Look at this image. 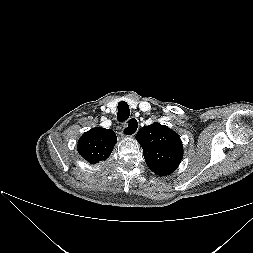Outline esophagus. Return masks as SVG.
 <instances>
[{
	"label": "esophagus",
	"instance_id": "1",
	"mask_svg": "<svg viewBox=\"0 0 253 253\" xmlns=\"http://www.w3.org/2000/svg\"><path fill=\"white\" fill-rule=\"evenodd\" d=\"M132 120V125L129 126V122ZM139 128V124L136 118H130L126 124H124L123 129L121 131V135L123 137H132L134 136Z\"/></svg>",
	"mask_w": 253,
	"mask_h": 253
}]
</instances>
